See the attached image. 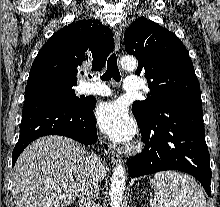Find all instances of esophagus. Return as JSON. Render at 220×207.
Segmentation results:
<instances>
[{
	"label": "esophagus",
	"mask_w": 220,
	"mask_h": 207,
	"mask_svg": "<svg viewBox=\"0 0 220 207\" xmlns=\"http://www.w3.org/2000/svg\"><path fill=\"white\" fill-rule=\"evenodd\" d=\"M114 41H115V51L117 52L120 49V41H121L120 32L118 30L115 31ZM111 160L112 163L116 165L122 162L121 157L118 154H116L114 151L112 152Z\"/></svg>",
	"instance_id": "obj_1"
}]
</instances>
